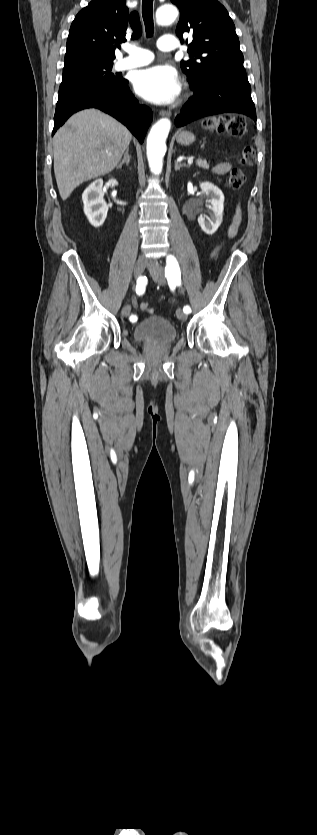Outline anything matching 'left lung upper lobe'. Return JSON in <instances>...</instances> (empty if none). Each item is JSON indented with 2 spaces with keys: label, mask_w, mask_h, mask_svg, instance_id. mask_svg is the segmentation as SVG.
Wrapping results in <instances>:
<instances>
[{
  "label": "left lung upper lobe",
  "mask_w": 317,
  "mask_h": 835,
  "mask_svg": "<svg viewBox=\"0 0 317 835\" xmlns=\"http://www.w3.org/2000/svg\"><path fill=\"white\" fill-rule=\"evenodd\" d=\"M180 10L176 34L182 40L191 33L190 60L181 68L190 84H198L215 67L243 68L235 26L227 10L216 0H171ZM188 39H186V43Z\"/></svg>",
  "instance_id": "1"
}]
</instances>
